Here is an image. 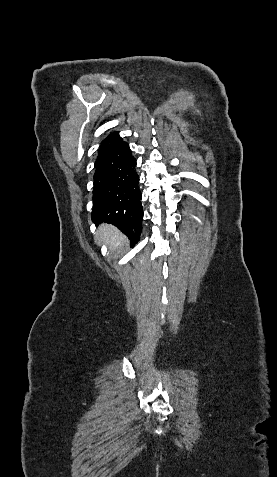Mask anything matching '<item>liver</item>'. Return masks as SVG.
<instances>
[{
    "instance_id": "6515ba94",
    "label": "liver",
    "mask_w": 277,
    "mask_h": 477,
    "mask_svg": "<svg viewBox=\"0 0 277 477\" xmlns=\"http://www.w3.org/2000/svg\"><path fill=\"white\" fill-rule=\"evenodd\" d=\"M97 236L102 242L106 243L110 249L120 248L127 242L126 237L117 228L109 224H102L98 228Z\"/></svg>"
}]
</instances>
